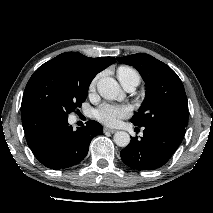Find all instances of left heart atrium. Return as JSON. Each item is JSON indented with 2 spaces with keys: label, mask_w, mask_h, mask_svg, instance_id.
Returning <instances> with one entry per match:
<instances>
[{
  "label": "left heart atrium",
  "mask_w": 213,
  "mask_h": 213,
  "mask_svg": "<svg viewBox=\"0 0 213 213\" xmlns=\"http://www.w3.org/2000/svg\"><path fill=\"white\" fill-rule=\"evenodd\" d=\"M130 113L131 109L126 105L104 103L94 111V116L103 124L115 126L121 119L128 117Z\"/></svg>",
  "instance_id": "39dd6f15"
}]
</instances>
